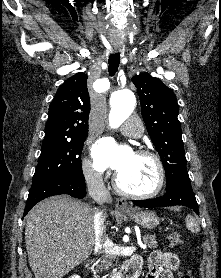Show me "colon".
Here are the masks:
<instances>
[{
  "instance_id": "5ec220e1",
  "label": "colon",
  "mask_w": 221,
  "mask_h": 278,
  "mask_svg": "<svg viewBox=\"0 0 221 278\" xmlns=\"http://www.w3.org/2000/svg\"><path fill=\"white\" fill-rule=\"evenodd\" d=\"M168 239H169L170 244L175 247H183L184 246L183 239L178 232H171L168 235ZM183 278H195V275L193 274V272L191 270H185L183 272Z\"/></svg>"
}]
</instances>
